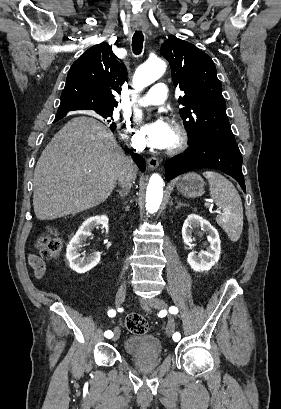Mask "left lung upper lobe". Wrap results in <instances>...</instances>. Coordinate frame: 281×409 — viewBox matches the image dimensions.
<instances>
[{
	"instance_id": "obj_1",
	"label": "left lung upper lobe",
	"mask_w": 281,
	"mask_h": 409,
	"mask_svg": "<svg viewBox=\"0 0 281 409\" xmlns=\"http://www.w3.org/2000/svg\"><path fill=\"white\" fill-rule=\"evenodd\" d=\"M161 54L170 63L175 86L185 92L184 97L179 98L184 106L180 115L190 142L207 137L235 142L212 59L193 44L178 38L166 40Z\"/></svg>"
}]
</instances>
